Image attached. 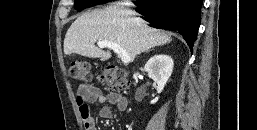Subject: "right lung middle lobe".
Instances as JSON below:
<instances>
[{
  "instance_id": "dd1d6c3e",
  "label": "right lung middle lobe",
  "mask_w": 257,
  "mask_h": 130,
  "mask_svg": "<svg viewBox=\"0 0 257 130\" xmlns=\"http://www.w3.org/2000/svg\"><path fill=\"white\" fill-rule=\"evenodd\" d=\"M107 2H109V1H107V0H94V1L93 0H74V6H75L76 10L80 11L81 9L91 5L92 3L104 4Z\"/></svg>"
}]
</instances>
